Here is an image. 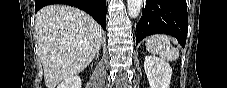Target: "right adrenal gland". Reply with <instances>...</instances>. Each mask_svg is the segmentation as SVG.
<instances>
[{
	"instance_id": "2a0ac1e0",
	"label": "right adrenal gland",
	"mask_w": 227,
	"mask_h": 88,
	"mask_svg": "<svg viewBox=\"0 0 227 88\" xmlns=\"http://www.w3.org/2000/svg\"><path fill=\"white\" fill-rule=\"evenodd\" d=\"M95 59H99V52L96 54Z\"/></svg>"
}]
</instances>
